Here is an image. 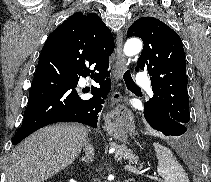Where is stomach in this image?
Wrapping results in <instances>:
<instances>
[{
	"label": "stomach",
	"instance_id": "0dacf381",
	"mask_svg": "<svg viewBox=\"0 0 211 182\" xmlns=\"http://www.w3.org/2000/svg\"><path fill=\"white\" fill-rule=\"evenodd\" d=\"M113 136L118 138L120 141L125 142L127 138L126 132H120V131H113L112 132Z\"/></svg>",
	"mask_w": 211,
	"mask_h": 182
}]
</instances>
